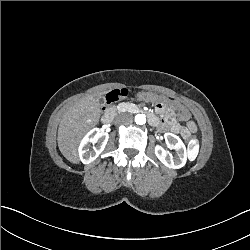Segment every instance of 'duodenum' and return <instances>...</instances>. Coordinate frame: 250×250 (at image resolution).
<instances>
[{"mask_svg": "<svg viewBox=\"0 0 250 250\" xmlns=\"http://www.w3.org/2000/svg\"><path fill=\"white\" fill-rule=\"evenodd\" d=\"M103 122L105 124H110L112 122V116L111 113H105L103 116Z\"/></svg>", "mask_w": 250, "mask_h": 250, "instance_id": "1", "label": "duodenum"}]
</instances>
